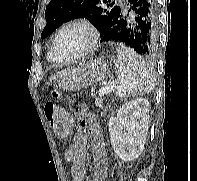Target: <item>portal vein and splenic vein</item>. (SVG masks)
<instances>
[{"instance_id": "portal-vein-and-splenic-vein-1", "label": "portal vein and splenic vein", "mask_w": 197, "mask_h": 181, "mask_svg": "<svg viewBox=\"0 0 197 181\" xmlns=\"http://www.w3.org/2000/svg\"><path fill=\"white\" fill-rule=\"evenodd\" d=\"M113 91V86H112V84H110V85H107L106 87H103V88H101L100 90H99V96H104V95H106V94H108V93H110V92H112Z\"/></svg>"}]
</instances>
